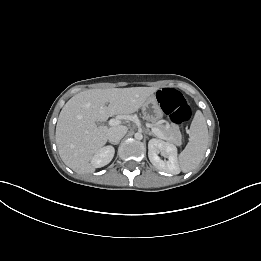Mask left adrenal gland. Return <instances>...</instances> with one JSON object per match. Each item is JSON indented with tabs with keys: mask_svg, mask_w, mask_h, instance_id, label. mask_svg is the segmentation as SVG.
<instances>
[{
	"mask_svg": "<svg viewBox=\"0 0 261 261\" xmlns=\"http://www.w3.org/2000/svg\"><path fill=\"white\" fill-rule=\"evenodd\" d=\"M147 134L150 136H155L151 131L147 130Z\"/></svg>",
	"mask_w": 261,
	"mask_h": 261,
	"instance_id": "left-adrenal-gland-1",
	"label": "left adrenal gland"
}]
</instances>
